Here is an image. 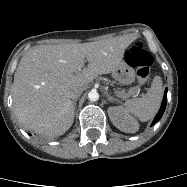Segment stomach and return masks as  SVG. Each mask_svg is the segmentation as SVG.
Here are the masks:
<instances>
[{"label": "stomach", "instance_id": "0dacf381", "mask_svg": "<svg viewBox=\"0 0 187 187\" xmlns=\"http://www.w3.org/2000/svg\"><path fill=\"white\" fill-rule=\"evenodd\" d=\"M115 80L122 84H130L135 80V70L125 61L112 72Z\"/></svg>", "mask_w": 187, "mask_h": 187}]
</instances>
